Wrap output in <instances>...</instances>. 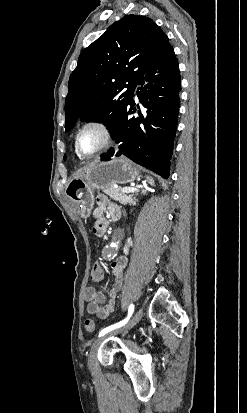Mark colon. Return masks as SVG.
Instances as JSON below:
<instances>
[{
	"mask_svg": "<svg viewBox=\"0 0 247 413\" xmlns=\"http://www.w3.org/2000/svg\"><path fill=\"white\" fill-rule=\"evenodd\" d=\"M101 277V264L95 262L92 264V267L88 268V279L95 280ZM84 328L87 332L95 331V321L91 318H86L84 320Z\"/></svg>",
	"mask_w": 247,
	"mask_h": 413,
	"instance_id": "obj_1",
	"label": "colon"
}]
</instances>
